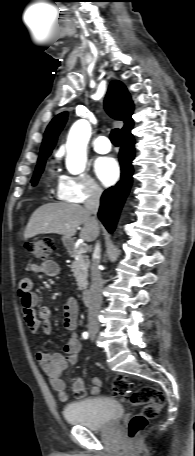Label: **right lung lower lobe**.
I'll use <instances>...</instances> for the list:
<instances>
[{
	"mask_svg": "<svg viewBox=\"0 0 195 456\" xmlns=\"http://www.w3.org/2000/svg\"><path fill=\"white\" fill-rule=\"evenodd\" d=\"M134 143L131 133L123 135L119 153L121 180L115 186L108 188L101 197L98 217L110 233L116 227L119 213L132 184Z\"/></svg>",
	"mask_w": 195,
	"mask_h": 456,
	"instance_id": "1",
	"label": "right lung lower lobe"
}]
</instances>
